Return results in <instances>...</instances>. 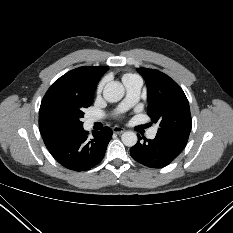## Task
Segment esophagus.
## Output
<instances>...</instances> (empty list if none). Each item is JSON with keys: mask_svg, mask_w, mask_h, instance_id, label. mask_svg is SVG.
<instances>
[{"mask_svg": "<svg viewBox=\"0 0 233 233\" xmlns=\"http://www.w3.org/2000/svg\"><path fill=\"white\" fill-rule=\"evenodd\" d=\"M112 130H113L114 133H117V134H121V133H123L125 131L124 128L119 127V126H114Z\"/></svg>", "mask_w": 233, "mask_h": 233, "instance_id": "obj_1", "label": "esophagus"}]
</instances>
